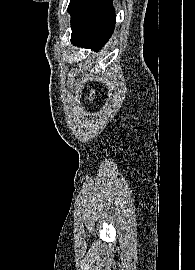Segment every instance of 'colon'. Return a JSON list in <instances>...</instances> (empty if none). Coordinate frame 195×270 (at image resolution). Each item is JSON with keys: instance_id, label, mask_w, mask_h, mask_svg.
Listing matches in <instances>:
<instances>
[{"instance_id": "1", "label": "colon", "mask_w": 195, "mask_h": 270, "mask_svg": "<svg viewBox=\"0 0 195 270\" xmlns=\"http://www.w3.org/2000/svg\"><path fill=\"white\" fill-rule=\"evenodd\" d=\"M92 100H95V95H93Z\"/></svg>"}]
</instances>
